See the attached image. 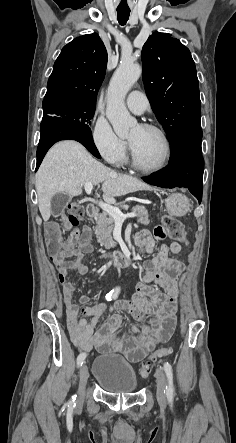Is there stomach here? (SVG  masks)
<instances>
[{
    "instance_id": "1",
    "label": "stomach",
    "mask_w": 236,
    "mask_h": 443,
    "mask_svg": "<svg viewBox=\"0 0 236 443\" xmlns=\"http://www.w3.org/2000/svg\"><path fill=\"white\" fill-rule=\"evenodd\" d=\"M166 208L171 214L182 216L189 209V201L185 195L173 193L166 199Z\"/></svg>"
}]
</instances>
